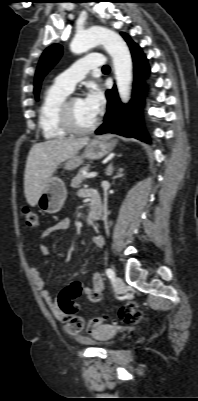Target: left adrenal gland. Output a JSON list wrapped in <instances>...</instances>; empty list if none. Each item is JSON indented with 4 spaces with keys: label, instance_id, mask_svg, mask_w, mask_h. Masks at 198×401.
Here are the masks:
<instances>
[{
    "label": "left adrenal gland",
    "instance_id": "1",
    "mask_svg": "<svg viewBox=\"0 0 198 401\" xmlns=\"http://www.w3.org/2000/svg\"><path fill=\"white\" fill-rule=\"evenodd\" d=\"M107 173H108L109 176H111L113 174V166H112V164L109 165Z\"/></svg>",
    "mask_w": 198,
    "mask_h": 401
}]
</instances>
